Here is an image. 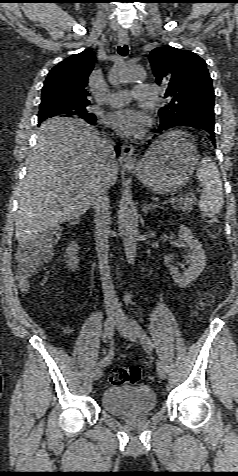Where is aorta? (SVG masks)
Returning a JSON list of instances; mask_svg holds the SVG:
<instances>
[{"label":"aorta","instance_id":"1","mask_svg":"<svg viewBox=\"0 0 238 476\" xmlns=\"http://www.w3.org/2000/svg\"><path fill=\"white\" fill-rule=\"evenodd\" d=\"M146 73L137 65H124L115 75V80L118 82H140L145 80ZM123 243L124 252L129 264H133L136 256L138 231H137V217L136 213L126 208L123 212Z\"/></svg>","mask_w":238,"mask_h":476}]
</instances>
